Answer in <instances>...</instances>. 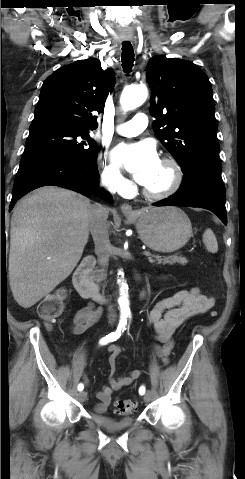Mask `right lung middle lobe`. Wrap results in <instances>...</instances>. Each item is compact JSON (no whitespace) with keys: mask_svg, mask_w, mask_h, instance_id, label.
I'll use <instances>...</instances> for the list:
<instances>
[{"mask_svg":"<svg viewBox=\"0 0 245 479\" xmlns=\"http://www.w3.org/2000/svg\"><path fill=\"white\" fill-rule=\"evenodd\" d=\"M98 147L89 130L65 125L30 127L21 163L42 157H66L97 167Z\"/></svg>","mask_w":245,"mask_h":479,"instance_id":"dd1d6c3e","label":"right lung middle lobe"}]
</instances>
